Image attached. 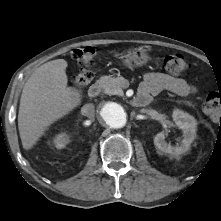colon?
I'll list each match as a JSON object with an SVG mask.
<instances>
[{"mask_svg":"<svg viewBox=\"0 0 221 221\" xmlns=\"http://www.w3.org/2000/svg\"><path fill=\"white\" fill-rule=\"evenodd\" d=\"M95 56L96 52L92 47L73 51V58L81 68L80 72L74 75L72 79L75 88L82 89L92 81ZM161 67L170 73H182L188 70L189 64L185 56L175 53L164 56L161 59ZM204 110L212 117L221 121V93H209L204 100Z\"/></svg>","mask_w":221,"mask_h":221,"instance_id":"obj_1","label":"colon"}]
</instances>
